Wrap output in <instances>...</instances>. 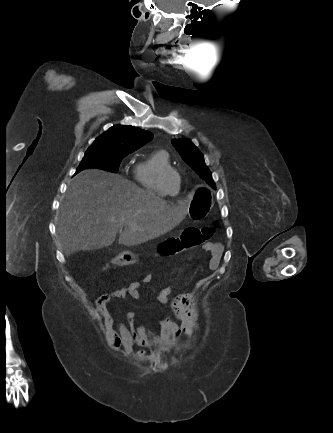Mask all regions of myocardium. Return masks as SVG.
<instances>
[{
	"label": "myocardium",
	"mask_w": 333,
	"mask_h": 433,
	"mask_svg": "<svg viewBox=\"0 0 333 433\" xmlns=\"http://www.w3.org/2000/svg\"><path fill=\"white\" fill-rule=\"evenodd\" d=\"M170 173H173V174L176 175L177 181H178V179H180L179 172L175 168H173V167H166V168L162 169L161 172H160V174H159V178H158L159 179V184H160L162 190L164 191V193L167 196H173V194L169 193L166 190V187H165V178Z\"/></svg>",
	"instance_id": "f54148a6"
}]
</instances>
